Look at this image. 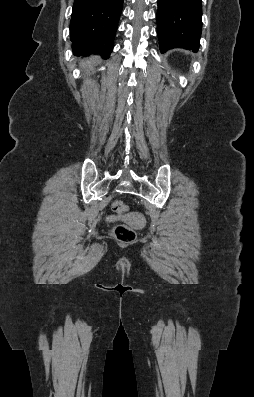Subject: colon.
<instances>
[{"instance_id": "obj_1", "label": "colon", "mask_w": 254, "mask_h": 397, "mask_svg": "<svg viewBox=\"0 0 254 397\" xmlns=\"http://www.w3.org/2000/svg\"><path fill=\"white\" fill-rule=\"evenodd\" d=\"M112 210L117 214L128 212V205L122 200H115L111 205ZM112 236L121 243L129 244L136 238V232L126 224H117L111 230Z\"/></svg>"}]
</instances>
